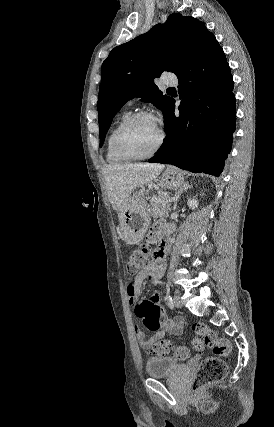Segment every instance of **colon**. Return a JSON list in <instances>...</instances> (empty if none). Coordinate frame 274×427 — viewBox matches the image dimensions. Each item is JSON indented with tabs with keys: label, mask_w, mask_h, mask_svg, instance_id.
<instances>
[{
	"label": "colon",
	"mask_w": 274,
	"mask_h": 427,
	"mask_svg": "<svg viewBox=\"0 0 274 427\" xmlns=\"http://www.w3.org/2000/svg\"><path fill=\"white\" fill-rule=\"evenodd\" d=\"M153 250L149 246H142L131 253L128 257L126 269L129 274L138 273L149 262ZM156 255V253H154ZM196 335L195 344L199 348L208 347L215 357H209L203 360L198 366L194 380L190 386L194 395L204 393V388L211 384L220 383L227 375V365L219 357L228 356L231 352V346L226 339L221 338L213 329L205 324L197 323L192 326ZM170 352L178 359H187L189 349L186 346L177 345L168 340L156 342L153 348L154 356H166Z\"/></svg>",
	"instance_id": "obj_1"
}]
</instances>
